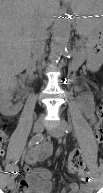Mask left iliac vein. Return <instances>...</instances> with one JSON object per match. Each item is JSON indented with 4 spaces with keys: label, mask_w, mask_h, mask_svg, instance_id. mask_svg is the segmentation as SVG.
Listing matches in <instances>:
<instances>
[{
    "label": "left iliac vein",
    "mask_w": 103,
    "mask_h": 193,
    "mask_svg": "<svg viewBox=\"0 0 103 193\" xmlns=\"http://www.w3.org/2000/svg\"><path fill=\"white\" fill-rule=\"evenodd\" d=\"M49 134H51L53 137L60 138L64 135V127L63 126H57L55 129H51L48 131ZM92 184H88V189L90 192L92 191Z\"/></svg>",
    "instance_id": "obj_1"
}]
</instances>
